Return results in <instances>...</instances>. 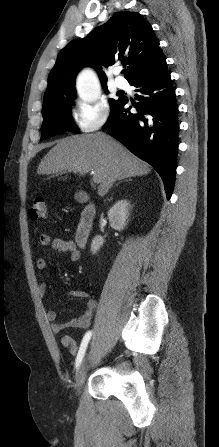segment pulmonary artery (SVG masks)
I'll return each mask as SVG.
<instances>
[{
  "instance_id": "1",
  "label": "pulmonary artery",
  "mask_w": 219,
  "mask_h": 447,
  "mask_svg": "<svg viewBox=\"0 0 219 447\" xmlns=\"http://www.w3.org/2000/svg\"><path fill=\"white\" fill-rule=\"evenodd\" d=\"M115 85L119 89H125L127 87V82L121 77H117L115 79Z\"/></svg>"
}]
</instances>
